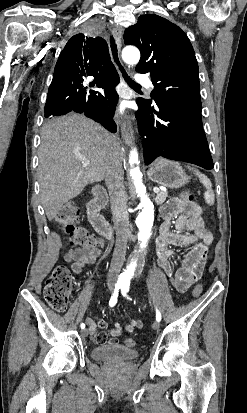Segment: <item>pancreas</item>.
<instances>
[{
    "instance_id": "pancreas-1",
    "label": "pancreas",
    "mask_w": 247,
    "mask_h": 413,
    "mask_svg": "<svg viewBox=\"0 0 247 413\" xmlns=\"http://www.w3.org/2000/svg\"><path fill=\"white\" fill-rule=\"evenodd\" d=\"M167 194H168V192H164V190H162V192H157V194L155 196L156 204H162V202H164V200H166Z\"/></svg>"
}]
</instances>
